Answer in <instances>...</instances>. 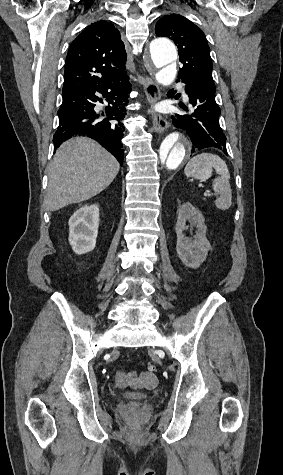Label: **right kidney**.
<instances>
[{"instance_id": "right-kidney-1", "label": "right kidney", "mask_w": 283, "mask_h": 475, "mask_svg": "<svg viewBox=\"0 0 283 475\" xmlns=\"http://www.w3.org/2000/svg\"><path fill=\"white\" fill-rule=\"evenodd\" d=\"M69 243L75 253H87L95 247L99 226L97 204H85L74 212L69 222Z\"/></svg>"}]
</instances>
